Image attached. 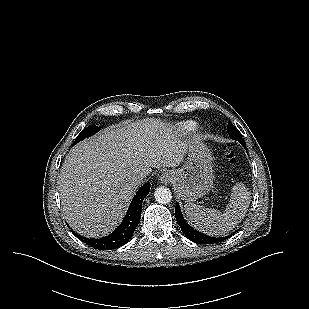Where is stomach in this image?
Segmentation results:
<instances>
[{
	"mask_svg": "<svg viewBox=\"0 0 309 309\" xmlns=\"http://www.w3.org/2000/svg\"><path fill=\"white\" fill-rule=\"evenodd\" d=\"M212 156L200 138L188 143V157L182 168L173 169V184L178 196L191 203L208 193L213 186Z\"/></svg>",
	"mask_w": 309,
	"mask_h": 309,
	"instance_id": "1",
	"label": "stomach"
}]
</instances>
